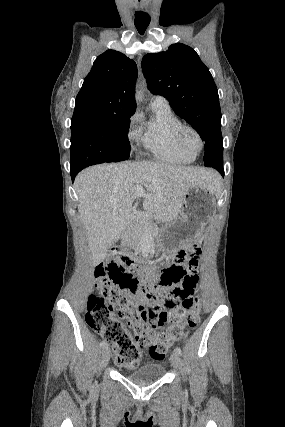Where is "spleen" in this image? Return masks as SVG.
<instances>
[{"label": "spleen", "mask_w": 285, "mask_h": 427, "mask_svg": "<svg viewBox=\"0 0 285 427\" xmlns=\"http://www.w3.org/2000/svg\"><path fill=\"white\" fill-rule=\"evenodd\" d=\"M219 188H220V187H219V185H218V186H217V190H218V191H219Z\"/></svg>", "instance_id": "3e777b00"}]
</instances>
